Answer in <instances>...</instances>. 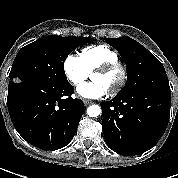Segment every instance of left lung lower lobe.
Here are the masks:
<instances>
[{
  "mask_svg": "<svg viewBox=\"0 0 178 178\" xmlns=\"http://www.w3.org/2000/svg\"><path fill=\"white\" fill-rule=\"evenodd\" d=\"M171 92L140 89L101 103L107 145L116 153L138 155L164 134L170 117Z\"/></svg>",
  "mask_w": 178,
  "mask_h": 178,
  "instance_id": "left-lung-lower-lobe-1",
  "label": "left lung lower lobe"
}]
</instances>
